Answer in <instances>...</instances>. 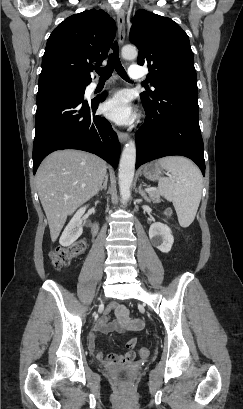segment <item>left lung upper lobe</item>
<instances>
[{
    "label": "left lung upper lobe",
    "instance_id": "obj_1",
    "mask_svg": "<svg viewBox=\"0 0 243 409\" xmlns=\"http://www.w3.org/2000/svg\"><path fill=\"white\" fill-rule=\"evenodd\" d=\"M130 41L139 49L138 64L148 65L152 90L141 93L157 100L169 87L197 83L194 56L186 32L172 19L140 10L132 20Z\"/></svg>",
    "mask_w": 243,
    "mask_h": 409
}]
</instances>
